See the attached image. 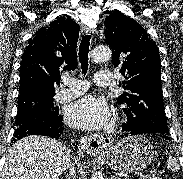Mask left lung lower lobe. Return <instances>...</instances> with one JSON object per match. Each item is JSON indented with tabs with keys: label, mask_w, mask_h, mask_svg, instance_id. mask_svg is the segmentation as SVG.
Listing matches in <instances>:
<instances>
[{
	"label": "left lung lower lobe",
	"mask_w": 183,
	"mask_h": 179,
	"mask_svg": "<svg viewBox=\"0 0 183 179\" xmlns=\"http://www.w3.org/2000/svg\"><path fill=\"white\" fill-rule=\"evenodd\" d=\"M122 129L123 131H125V133L121 135V137H128L130 135H136V134H150L144 131L135 130L129 127L127 124L123 125ZM153 135H157V136L163 137L164 139H168V135H161V134H153Z\"/></svg>",
	"instance_id": "0a47b994"
}]
</instances>
